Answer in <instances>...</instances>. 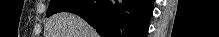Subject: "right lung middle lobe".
Returning a JSON list of instances; mask_svg holds the SVG:
<instances>
[{"instance_id":"right-lung-middle-lobe-1","label":"right lung middle lobe","mask_w":219,"mask_h":37,"mask_svg":"<svg viewBox=\"0 0 219 37\" xmlns=\"http://www.w3.org/2000/svg\"><path fill=\"white\" fill-rule=\"evenodd\" d=\"M74 2H76V0H51L46 16L49 17L55 13L61 12Z\"/></svg>"}]
</instances>
